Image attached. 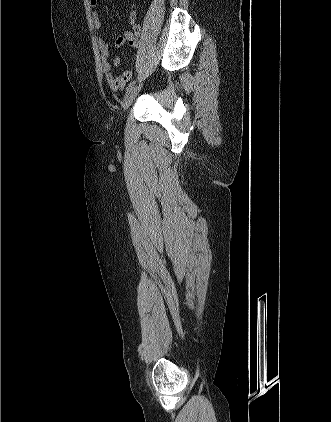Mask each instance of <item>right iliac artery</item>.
Returning <instances> with one entry per match:
<instances>
[{"label":"right iliac artery","mask_w":331,"mask_h":422,"mask_svg":"<svg viewBox=\"0 0 331 422\" xmlns=\"http://www.w3.org/2000/svg\"><path fill=\"white\" fill-rule=\"evenodd\" d=\"M135 85V81L131 82L127 87H126V93H128Z\"/></svg>","instance_id":"82829eb1"}]
</instances>
